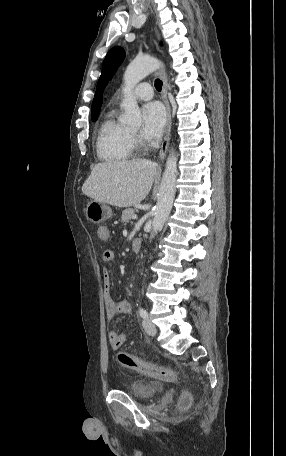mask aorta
<instances>
[{
	"label": "aorta",
	"mask_w": 286,
	"mask_h": 456,
	"mask_svg": "<svg viewBox=\"0 0 286 456\" xmlns=\"http://www.w3.org/2000/svg\"><path fill=\"white\" fill-rule=\"evenodd\" d=\"M160 62L153 57L135 58L126 68L124 73V99L122 106L125 113L122 122L128 125L139 126L142 122L141 111L136 98L133 95L134 86L143 78L148 76L160 67ZM177 176V158L172 152L166 162L165 170L162 176L158 192V200L154 209V218L152 221L153 238L161 230L170 214L175 197V181Z\"/></svg>",
	"instance_id": "aorta-1"
}]
</instances>
